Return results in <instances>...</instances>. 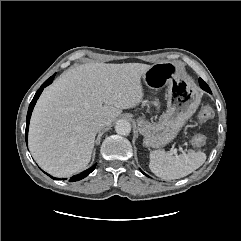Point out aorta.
<instances>
[{
	"label": "aorta",
	"mask_w": 241,
	"mask_h": 241,
	"mask_svg": "<svg viewBox=\"0 0 241 241\" xmlns=\"http://www.w3.org/2000/svg\"><path fill=\"white\" fill-rule=\"evenodd\" d=\"M115 131L119 135H129L131 132V124L129 121L121 119L116 122Z\"/></svg>",
	"instance_id": "1"
}]
</instances>
